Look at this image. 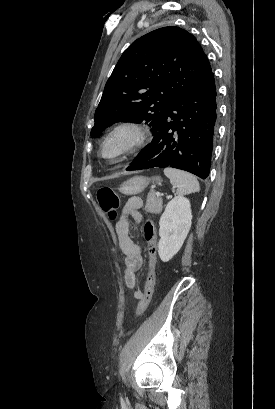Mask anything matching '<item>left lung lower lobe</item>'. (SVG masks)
Segmentation results:
<instances>
[{
	"instance_id": "obj_1",
	"label": "left lung lower lobe",
	"mask_w": 275,
	"mask_h": 409,
	"mask_svg": "<svg viewBox=\"0 0 275 409\" xmlns=\"http://www.w3.org/2000/svg\"><path fill=\"white\" fill-rule=\"evenodd\" d=\"M216 97L211 70L179 96L153 133L151 144L126 170L169 166L206 179L216 133Z\"/></svg>"
}]
</instances>
